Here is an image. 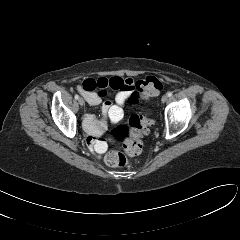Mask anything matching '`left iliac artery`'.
<instances>
[{
    "mask_svg": "<svg viewBox=\"0 0 240 240\" xmlns=\"http://www.w3.org/2000/svg\"><path fill=\"white\" fill-rule=\"evenodd\" d=\"M167 95H168V97H171L173 95V93L172 92H168Z\"/></svg>",
    "mask_w": 240,
    "mask_h": 240,
    "instance_id": "1",
    "label": "left iliac artery"
}]
</instances>
